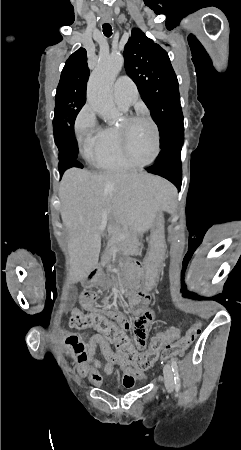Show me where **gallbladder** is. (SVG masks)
<instances>
[{
  "label": "gallbladder",
  "instance_id": "bac80fb5",
  "mask_svg": "<svg viewBox=\"0 0 241 450\" xmlns=\"http://www.w3.org/2000/svg\"><path fill=\"white\" fill-rule=\"evenodd\" d=\"M76 298H77V293L75 292L74 288H71L70 292L68 293V298L66 299V301L64 303L65 310H75Z\"/></svg>",
  "mask_w": 241,
  "mask_h": 450
}]
</instances>
